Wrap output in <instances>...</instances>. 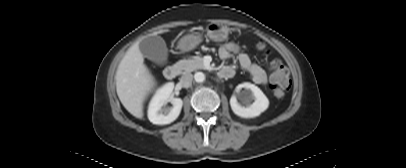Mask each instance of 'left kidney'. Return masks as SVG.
I'll return each mask as SVG.
<instances>
[{"mask_svg": "<svg viewBox=\"0 0 406 168\" xmlns=\"http://www.w3.org/2000/svg\"><path fill=\"white\" fill-rule=\"evenodd\" d=\"M245 90L241 92V89ZM235 92L243 99L244 103L247 105L242 106L238 101L236 95H233L230 99V106L232 111L239 117L242 118H254L259 116L262 112L267 110L269 106V100L265 94L249 82H244L239 84ZM253 101V103H251Z\"/></svg>", "mask_w": 406, "mask_h": 168, "instance_id": "5707ae66", "label": "left kidney"}]
</instances>
